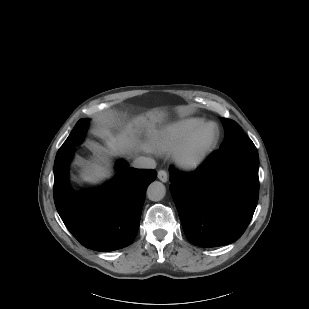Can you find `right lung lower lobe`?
<instances>
[{
	"label": "right lung lower lobe",
	"instance_id": "1",
	"mask_svg": "<svg viewBox=\"0 0 309 309\" xmlns=\"http://www.w3.org/2000/svg\"><path fill=\"white\" fill-rule=\"evenodd\" d=\"M73 150L54 163V201L71 234L86 248L114 251L130 245L137 234L147 186L154 170L118 165L112 183L94 194L78 195L68 182Z\"/></svg>",
	"mask_w": 309,
	"mask_h": 309
}]
</instances>
